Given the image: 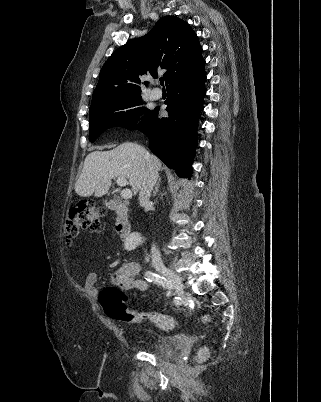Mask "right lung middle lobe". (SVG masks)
I'll return each instance as SVG.
<instances>
[{"label": "right lung middle lobe", "instance_id": "obj_1", "mask_svg": "<svg viewBox=\"0 0 321 402\" xmlns=\"http://www.w3.org/2000/svg\"><path fill=\"white\" fill-rule=\"evenodd\" d=\"M142 103L141 93H139L122 97L106 104L90 107V141L94 142L103 131L111 127L118 126L128 129L134 126L138 115L146 113L149 110L144 107L129 108L141 105Z\"/></svg>", "mask_w": 321, "mask_h": 402}]
</instances>
